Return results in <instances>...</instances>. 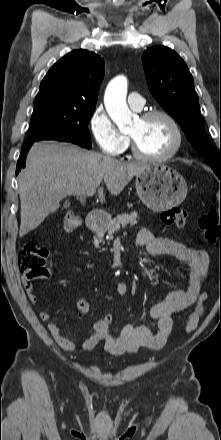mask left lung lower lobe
I'll return each instance as SVG.
<instances>
[{
    "label": "left lung lower lobe",
    "instance_id": "obj_1",
    "mask_svg": "<svg viewBox=\"0 0 221 440\" xmlns=\"http://www.w3.org/2000/svg\"><path fill=\"white\" fill-rule=\"evenodd\" d=\"M220 174H221V173L219 172L217 175L220 176Z\"/></svg>",
    "mask_w": 221,
    "mask_h": 440
}]
</instances>
